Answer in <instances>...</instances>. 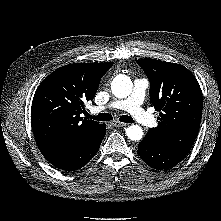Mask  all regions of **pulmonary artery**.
I'll return each mask as SVG.
<instances>
[{
  "instance_id": "1",
  "label": "pulmonary artery",
  "mask_w": 221,
  "mask_h": 221,
  "mask_svg": "<svg viewBox=\"0 0 221 221\" xmlns=\"http://www.w3.org/2000/svg\"><path fill=\"white\" fill-rule=\"evenodd\" d=\"M148 85L147 79H136L129 97L113 101L106 106L95 107L94 111L99 112L105 109L126 110L138 123L146 127H154L157 124L156 119L142 108Z\"/></svg>"
}]
</instances>
